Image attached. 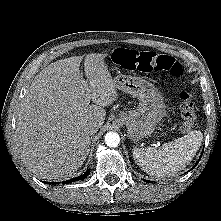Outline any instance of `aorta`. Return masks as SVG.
Wrapping results in <instances>:
<instances>
[{
    "label": "aorta",
    "mask_w": 221,
    "mask_h": 221,
    "mask_svg": "<svg viewBox=\"0 0 221 221\" xmlns=\"http://www.w3.org/2000/svg\"><path fill=\"white\" fill-rule=\"evenodd\" d=\"M105 143L109 147H116L120 143V137L116 132H108L105 135Z\"/></svg>",
    "instance_id": "762f6f07"
}]
</instances>
